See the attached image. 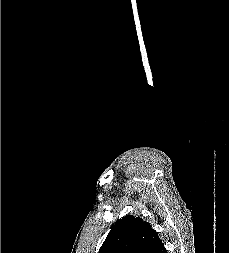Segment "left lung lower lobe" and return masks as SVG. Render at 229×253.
<instances>
[{
  "mask_svg": "<svg viewBox=\"0 0 229 253\" xmlns=\"http://www.w3.org/2000/svg\"><path fill=\"white\" fill-rule=\"evenodd\" d=\"M155 253H167L163 243L156 249Z\"/></svg>",
  "mask_w": 229,
  "mask_h": 253,
  "instance_id": "left-lung-lower-lobe-1",
  "label": "left lung lower lobe"
}]
</instances>
